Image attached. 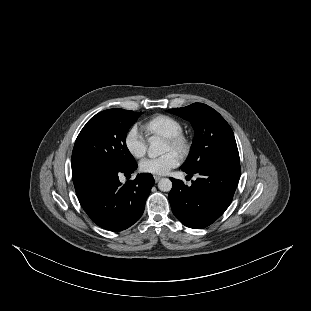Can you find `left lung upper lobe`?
<instances>
[{
	"mask_svg": "<svg viewBox=\"0 0 311 311\" xmlns=\"http://www.w3.org/2000/svg\"><path fill=\"white\" fill-rule=\"evenodd\" d=\"M168 112L189 120L195 130L190 154L181 166L183 171L195 172L216 163L239 162L233 131L216 110L194 103Z\"/></svg>",
	"mask_w": 311,
	"mask_h": 311,
	"instance_id": "obj_1",
	"label": "left lung upper lobe"
}]
</instances>
